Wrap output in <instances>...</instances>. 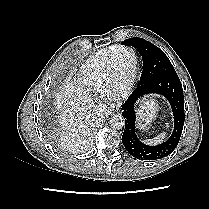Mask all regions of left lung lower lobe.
<instances>
[{"label": "left lung lower lobe", "instance_id": "left-lung-lower-lobe-1", "mask_svg": "<svg viewBox=\"0 0 209 209\" xmlns=\"http://www.w3.org/2000/svg\"><path fill=\"white\" fill-rule=\"evenodd\" d=\"M147 94H159L165 97L171 105L174 116V129L171 136L165 142L156 146L144 144L136 135L135 104L138 99ZM122 110L125 119L122 143L133 157L139 160H157L170 155L174 151L180 140L185 119L183 89L176 73L161 76L150 85L137 86L122 105Z\"/></svg>", "mask_w": 209, "mask_h": 209}]
</instances>
